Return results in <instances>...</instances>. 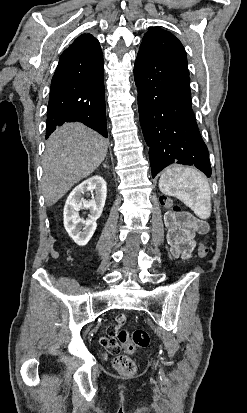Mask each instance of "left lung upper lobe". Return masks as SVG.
I'll return each mask as SVG.
<instances>
[{"mask_svg":"<svg viewBox=\"0 0 247 413\" xmlns=\"http://www.w3.org/2000/svg\"><path fill=\"white\" fill-rule=\"evenodd\" d=\"M140 49L189 73L185 49L181 42L168 31L158 27L151 28L144 35Z\"/></svg>","mask_w":247,"mask_h":413,"instance_id":"1","label":"left lung upper lobe"}]
</instances>
